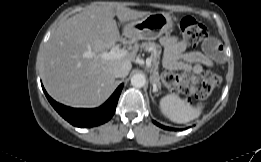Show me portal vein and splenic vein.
I'll use <instances>...</instances> for the list:
<instances>
[{
    "instance_id": "portal-vein-and-splenic-vein-1",
    "label": "portal vein and splenic vein",
    "mask_w": 261,
    "mask_h": 162,
    "mask_svg": "<svg viewBox=\"0 0 261 162\" xmlns=\"http://www.w3.org/2000/svg\"><path fill=\"white\" fill-rule=\"evenodd\" d=\"M127 55V51L120 49L118 46H113L109 52H103L100 57L105 60L120 59ZM146 65L151 66V58L146 60Z\"/></svg>"
}]
</instances>
